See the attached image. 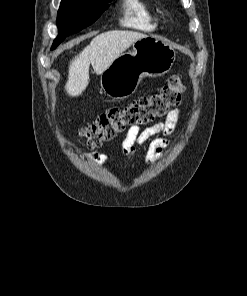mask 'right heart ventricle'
I'll use <instances>...</instances> for the list:
<instances>
[{"instance_id":"e07e8e85","label":"right heart ventricle","mask_w":247,"mask_h":296,"mask_svg":"<svg viewBox=\"0 0 247 296\" xmlns=\"http://www.w3.org/2000/svg\"><path fill=\"white\" fill-rule=\"evenodd\" d=\"M123 9L124 26L141 31H153L157 28L159 19L146 0H123Z\"/></svg>"}]
</instances>
